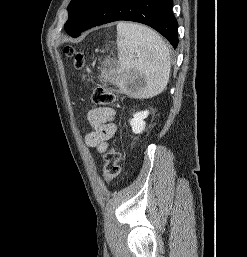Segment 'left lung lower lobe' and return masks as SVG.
<instances>
[{
  "label": "left lung lower lobe",
  "mask_w": 247,
  "mask_h": 257,
  "mask_svg": "<svg viewBox=\"0 0 247 257\" xmlns=\"http://www.w3.org/2000/svg\"><path fill=\"white\" fill-rule=\"evenodd\" d=\"M172 7L173 0H97L78 31L71 36L78 37L95 26L127 20L154 28L176 48L178 24Z\"/></svg>",
  "instance_id": "0a47b994"
}]
</instances>
